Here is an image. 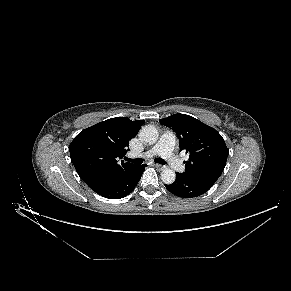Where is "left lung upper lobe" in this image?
<instances>
[{
	"label": "left lung upper lobe",
	"mask_w": 291,
	"mask_h": 291,
	"mask_svg": "<svg viewBox=\"0 0 291 291\" xmlns=\"http://www.w3.org/2000/svg\"><path fill=\"white\" fill-rule=\"evenodd\" d=\"M160 122L176 132L180 151L185 150L189 154V160L184 162L185 174L220 177L229 150L214 128L185 114H174L160 119Z\"/></svg>",
	"instance_id": "5c2ea615"
}]
</instances>
